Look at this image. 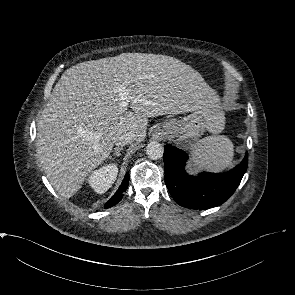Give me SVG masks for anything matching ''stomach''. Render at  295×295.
<instances>
[{
  "label": "stomach",
  "instance_id": "0dacf381",
  "mask_svg": "<svg viewBox=\"0 0 295 295\" xmlns=\"http://www.w3.org/2000/svg\"><path fill=\"white\" fill-rule=\"evenodd\" d=\"M225 123L224 112L218 94L208 89L204 96L191 107L190 113L182 119H168L162 124L163 131L176 141L189 145L210 131L219 133Z\"/></svg>",
  "mask_w": 295,
  "mask_h": 295
}]
</instances>
